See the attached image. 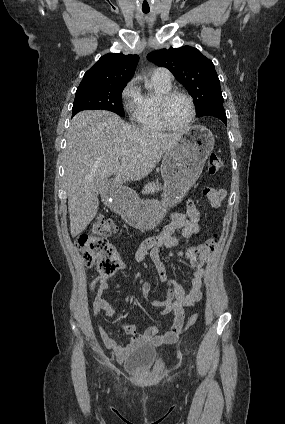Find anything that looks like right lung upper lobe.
Returning <instances> with one entry per match:
<instances>
[{"label": "right lung upper lobe", "instance_id": "1", "mask_svg": "<svg viewBox=\"0 0 285 424\" xmlns=\"http://www.w3.org/2000/svg\"><path fill=\"white\" fill-rule=\"evenodd\" d=\"M138 60V55L106 54L84 74L79 87L128 83Z\"/></svg>", "mask_w": 285, "mask_h": 424}]
</instances>
